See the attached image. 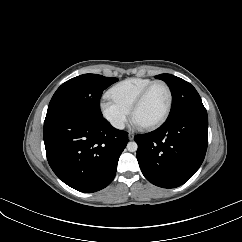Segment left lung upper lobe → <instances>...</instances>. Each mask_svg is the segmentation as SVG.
Instances as JSON below:
<instances>
[{
  "instance_id": "1",
  "label": "left lung upper lobe",
  "mask_w": 242,
  "mask_h": 242,
  "mask_svg": "<svg viewBox=\"0 0 242 242\" xmlns=\"http://www.w3.org/2000/svg\"><path fill=\"white\" fill-rule=\"evenodd\" d=\"M156 78L165 81L172 92V107L167 119L193 108H203L196 89L187 81L171 74H160Z\"/></svg>"
}]
</instances>
